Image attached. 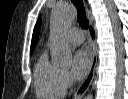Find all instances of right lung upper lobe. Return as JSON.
I'll return each instance as SVG.
<instances>
[{
  "mask_svg": "<svg viewBox=\"0 0 128 99\" xmlns=\"http://www.w3.org/2000/svg\"><path fill=\"white\" fill-rule=\"evenodd\" d=\"M41 20L39 19L34 27L33 36H32V42H31V50L30 54H32L34 47L38 41V35L40 30Z\"/></svg>",
  "mask_w": 128,
  "mask_h": 99,
  "instance_id": "obj_1",
  "label": "right lung upper lobe"
}]
</instances>
